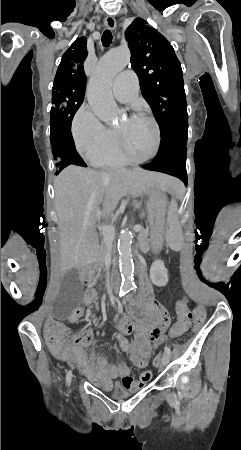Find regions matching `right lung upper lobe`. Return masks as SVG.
<instances>
[{
	"label": "right lung upper lobe",
	"instance_id": "obj_1",
	"mask_svg": "<svg viewBox=\"0 0 241 450\" xmlns=\"http://www.w3.org/2000/svg\"><path fill=\"white\" fill-rule=\"evenodd\" d=\"M86 38H77L64 53L54 83H67L86 88V76L83 68L87 57Z\"/></svg>",
	"mask_w": 241,
	"mask_h": 450
}]
</instances>
